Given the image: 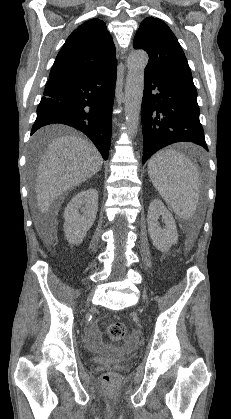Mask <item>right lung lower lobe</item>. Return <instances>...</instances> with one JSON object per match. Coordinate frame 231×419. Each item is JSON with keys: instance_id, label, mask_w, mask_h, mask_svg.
<instances>
[{"instance_id": "1", "label": "right lung lower lobe", "mask_w": 231, "mask_h": 419, "mask_svg": "<svg viewBox=\"0 0 231 419\" xmlns=\"http://www.w3.org/2000/svg\"><path fill=\"white\" fill-rule=\"evenodd\" d=\"M117 65L100 73L52 78L46 84L31 134L62 123L86 134L107 160Z\"/></svg>"}]
</instances>
